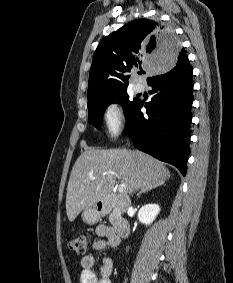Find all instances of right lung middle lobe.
<instances>
[{
  "instance_id": "1",
  "label": "right lung middle lobe",
  "mask_w": 233,
  "mask_h": 283,
  "mask_svg": "<svg viewBox=\"0 0 233 283\" xmlns=\"http://www.w3.org/2000/svg\"><path fill=\"white\" fill-rule=\"evenodd\" d=\"M137 99H134L133 101H129V96L127 94V91H122L119 93H116L108 98H106L104 101L97 103L92 106H88V112H89V120L90 123H92L96 128H100V123L102 120V115L104 110L108 105L111 103H122L124 114L127 117L134 107V105L137 103Z\"/></svg>"
}]
</instances>
